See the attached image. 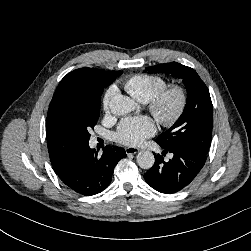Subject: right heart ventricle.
Here are the masks:
<instances>
[{
  "instance_id": "e07e8e85",
  "label": "right heart ventricle",
  "mask_w": 251,
  "mask_h": 251,
  "mask_svg": "<svg viewBox=\"0 0 251 251\" xmlns=\"http://www.w3.org/2000/svg\"><path fill=\"white\" fill-rule=\"evenodd\" d=\"M124 87L134 99L146 103L166 87V81L157 75L139 74L129 78Z\"/></svg>"
}]
</instances>
